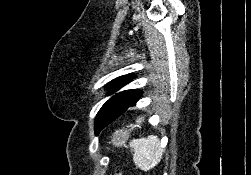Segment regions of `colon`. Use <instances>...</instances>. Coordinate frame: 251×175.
<instances>
[{
	"instance_id": "1",
	"label": "colon",
	"mask_w": 251,
	"mask_h": 175,
	"mask_svg": "<svg viewBox=\"0 0 251 175\" xmlns=\"http://www.w3.org/2000/svg\"><path fill=\"white\" fill-rule=\"evenodd\" d=\"M112 175H120V174L117 172V173H114V174H112Z\"/></svg>"
}]
</instances>
